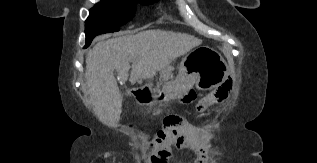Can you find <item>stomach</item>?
I'll list each match as a JSON object with an SVG mask.
<instances>
[{
	"mask_svg": "<svg viewBox=\"0 0 317 163\" xmlns=\"http://www.w3.org/2000/svg\"><path fill=\"white\" fill-rule=\"evenodd\" d=\"M200 48L194 52L202 56L193 63L182 62L175 80L164 83L160 88L146 87L139 91L137 103L153 107L169 101H180L194 85L201 90H211L222 84L229 74L226 62L214 49L207 46Z\"/></svg>",
	"mask_w": 317,
	"mask_h": 163,
	"instance_id": "0dacf381",
	"label": "stomach"
}]
</instances>
